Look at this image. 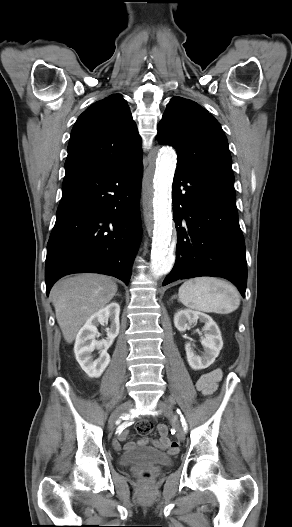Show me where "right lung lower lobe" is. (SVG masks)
Returning a JSON list of instances; mask_svg holds the SVG:
<instances>
[{"label":"right lung lower lobe","instance_id":"obj_1","mask_svg":"<svg viewBox=\"0 0 292 527\" xmlns=\"http://www.w3.org/2000/svg\"><path fill=\"white\" fill-rule=\"evenodd\" d=\"M141 177L142 156L106 170L65 174L47 244V295L72 273H102L128 284L141 237Z\"/></svg>","mask_w":292,"mask_h":527}]
</instances>
